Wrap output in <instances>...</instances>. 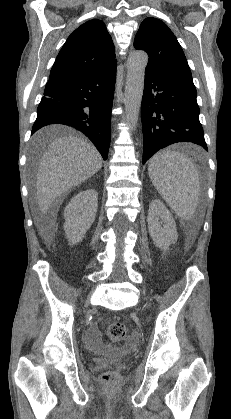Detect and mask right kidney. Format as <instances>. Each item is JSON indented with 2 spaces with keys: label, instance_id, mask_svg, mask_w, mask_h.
Wrapping results in <instances>:
<instances>
[{
  "label": "right kidney",
  "instance_id": "ca27d5eb",
  "mask_svg": "<svg viewBox=\"0 0 231 419\" xmlns=\"http://www.w3.org/2000/svg\"><path fill=\"white\" fill-rule=\"evenodd\" d=\"M98 208V193L95 189L80 191L75 195L64 211V231L72 244L84 238L93 224Z\"/></svg>",
  "mask_w": 231,
  "mask_h": 419
}]
</instances>
